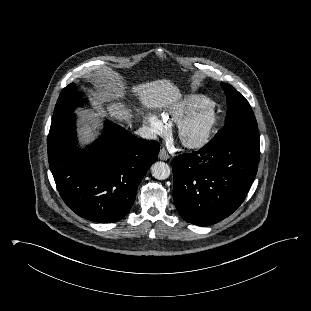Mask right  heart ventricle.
<instances>
[{
    "label": "right heart ventricle",
    "instance_id": "e07e8e85",
    "mask_svg": "<svg viewBox=\"0 0 311 311\" xmlns=\"http://www.w3.org/2000/svg\"><path fill=\"white\" fill-rule=\"evenodd\" d=\"M211 100L200 94H191L173 103L163 114L167 124L179 123L195 111L211 104Z\"/></svg>",
    "mask_w": 311,
    "mask_h": 311
}]
</instances>
